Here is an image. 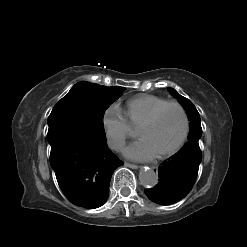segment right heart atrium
<instances>
[{
  "label": "right heart atrium",
  "instance_id": "obj_1",
  "mask_svg": "<svg viewBox=\"0 0 247 247\" xmlns=\"http://www.w3.org/2000/svg\"><path fill=\"white\" fill-rule=\"evenodd\" d=\"M102 127L109 147L119 151L130 135L131 127L123 111L117 105L108 107L102 116Z\"/></svg>",
  "mask_w": 247,
  "mask_h": 247
}]
</instances>
